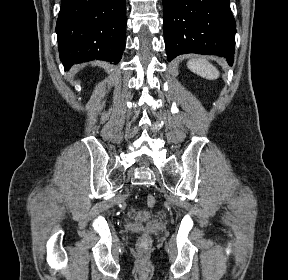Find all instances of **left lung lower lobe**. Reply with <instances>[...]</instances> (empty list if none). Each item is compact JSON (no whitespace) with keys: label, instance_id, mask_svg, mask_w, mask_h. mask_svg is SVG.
<instances>
[{"label":"left lung lower lobe","instance_id":"obj_1","mask_svg":"<svg viewBox=\"0 0 288 280\" xmlns=\"http://www.w3.org/2000/svg\"><path fill=\"white\" fill-rule=\"evenodd\" d=\"M168 61L197 53L234 60L236 22L230 0H163Z\"/></svg>","mask_w":288,"mask_h":280}]
</instances>
